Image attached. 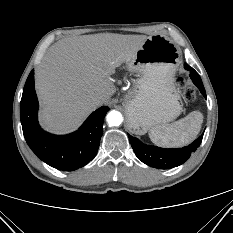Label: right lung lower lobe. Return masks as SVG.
Masks as SVG:
<instances>
[{
	"label": "right lung lower lobe",
	"mask_w": 233,
	"mask_h": 233,
	"mask_svg": "<svg viewBox=\"0 0 233 233\" xmlns=\"http://www.w3.org/2000/svg\"><path fill=\"white\" fill-rule=\"evenodd\" d=\"M38 100L34 70L26 80L20 103V117L25 140L39 159L62 171L85 166L96 155L103 132V119L109 111L102 106L93 112L76 132L56 136L43 131L37 121Z\"/></svg>",
	"instance_id": "right-lung-lower-lobe-1"
}]
</instances>
